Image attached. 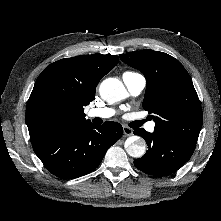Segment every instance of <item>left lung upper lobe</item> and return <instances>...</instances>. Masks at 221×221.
<instances>
[{
	"label": "left lung upper lobe",
	"mask_w": 221,
	"mask_h": 221,
	"mask_svg": "<svg viewBox=\"0 0 221 221\" xmlns=\"http://www.w3.org/2000/svg\"><path fill=\"white\" fill-rule=\"evenodd\" d=\"M120 59L146 78L142 106L155 115L154 130L196 145L203 120L202 108L182 64L166 53L150 49L121 54Z\"/></svg>",
	"instance_id": "1"
}]
</instances>
